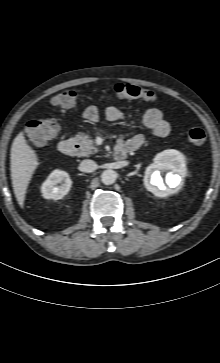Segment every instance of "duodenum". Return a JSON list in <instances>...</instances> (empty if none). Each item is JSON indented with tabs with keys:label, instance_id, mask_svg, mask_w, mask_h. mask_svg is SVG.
Instances as JSON below:
<instances>
[{
	"label": "duodenum",
	"instance_id": "obj_1",
	"mask_svg": "<svg viewBox=\"0 0 220 363\" xmlns=\"http://www.w3.org/2000/svg\"><path fill=\"white\" fill-rule=\"evenodd\" d=\"M77 150L76 142L73 139H64L58 144V151L62 155L70 156ZM113 156L116 160H123L127 156V149L121 146L115 148Z\"/></svg>",
	"mask_w": 220,
	"mask_h": 363
}]
</instances>
